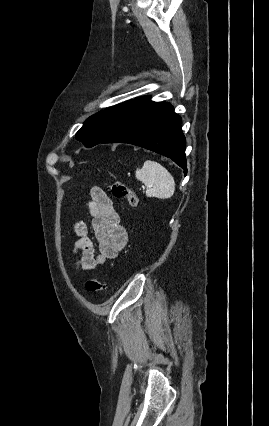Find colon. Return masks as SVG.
Returning a JSON list of instances; mask_svg holds the SVG:
<instances>
[{
  "label": "colon",
  "instance_id": "1",
  "mask_svg": "<svg viewBox=\"0 0 269 426\" xmlns=\"http://www.w3.org/2000/svg\"><path fill=\"white\" fill-rule=\"evenodd\" d=\"M110 190L114 197L123 199L130 207H136L138 204L137 195L133 190L121 182L110 184ZM86 289L90 293H100L105 289L103 281L97 278H89L86 281Z\"/></svg>",
  "mask_w": 269,
  "mask_h": 426
}]
</instances>
